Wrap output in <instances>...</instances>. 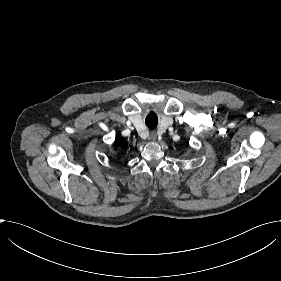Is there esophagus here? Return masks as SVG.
Instances as JSON below:
<instances>
[{
    "label": "esophagus",
    "mask_w": 281,
    "mask_h": 281,
    "mask_svg": "<svg viewBox=\"0 0 281 281\" xmlns=\"http://www.w3.org/2000/svg\"><path fill=\"white\" fill-rule=\"evenodd\" d=\"M150 139L153 140V141H155L157 139L156 131L153 130V131L150 132Z\"/></svg>",
    "instance_id": "esophagus-1"
}]
</instances>
